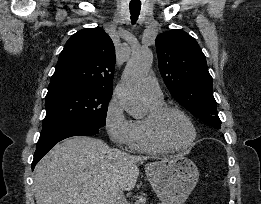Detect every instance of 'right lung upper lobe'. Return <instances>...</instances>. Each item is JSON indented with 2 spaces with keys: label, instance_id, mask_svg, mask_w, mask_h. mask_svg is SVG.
Instances as JSON below:
<instances>
[{
  "label": "right lung upper lobe",
  "instance_id": "obj_1",
  "mask_svg": "<svg viewBox=\"0 0 261 204\" xmlns=\"http://www.w3.org/2000/svg\"><path fill=\"white\" fill-rule=\"evenodd\" d=\"M115 48L101 28H86L73 34L59 55L48 93L74 89L112 92Z\"/></svg>",
  "mask_w": 261,
  "mask_h": 204
}]
</instances>
